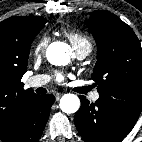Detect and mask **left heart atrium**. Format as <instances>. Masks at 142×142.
<instances>
[{"label": "left heart atrium", "mask_w": 142, "mask_h": 142, "mask_svg": "<svg viewBox=\"0 0 142 142\" xmlns=\"http://www.w3.org/2000/svg\"><path fill=\"white\" fill-rule=\"evenodd\" d=\"M56 79H57L58 82H63V80H64V75L61 74V73H58V74L56 75Z\"/></svg>", "instance_id": "left-heart-atrium-1"}]
</instances>
